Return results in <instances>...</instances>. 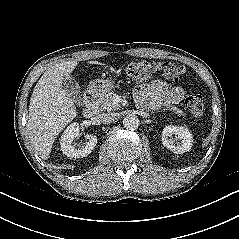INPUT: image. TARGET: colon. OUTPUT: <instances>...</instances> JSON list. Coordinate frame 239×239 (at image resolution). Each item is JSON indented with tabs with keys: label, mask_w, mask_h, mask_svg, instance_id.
I'll return each instance as SVG.
<instances>
[{
	"label": "colon",
	"mask_w": 239,
	"mask_h": 239,
	"mask_svg": "<svg viewBox=\"0 0 239 239\" xmlns=\"http://www.w3.org/2000/svg\"><path fill=\"white\" fill-rule=\"evenodd\" d=\"M128 76L135 82H143L150 79L155 74H161L174 81H180L185 76V69L172 62L137 61L131 63L127 68ZM185 105L194 116H202L205 112L204 99L200 94L189 95L185 100Z\"/></svg>",
	"instance_id": "obj_1"
}]
</instances>
